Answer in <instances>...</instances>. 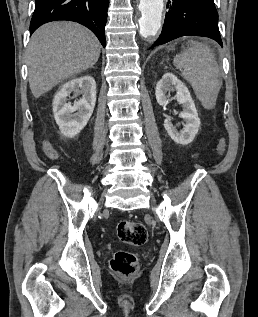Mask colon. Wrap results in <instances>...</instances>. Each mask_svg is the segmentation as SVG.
<instances>
[{
	"label": "colon",
	"instance_id": "obj_1",
	"mask_svg": "<svg viewBox=\"0 0 258 317\" xmlns=\"http://www.w3.org/2000/svg\"><path fill=\"white\" fill-rule=\"evenodd\" d=\"M225 150V141L221 140L218 144L217 151L222 153ZM119 239L127 244L140 246L148 238L145 226L139 222L122 221L117 227ZM110 268L118 275L129 277L137 273L139 269L138 259L135 254L119 250L115 252L110 260Z\"/></svg>",
	"mask_w": 258,
	"mask_h": 317
}]
</instances>
